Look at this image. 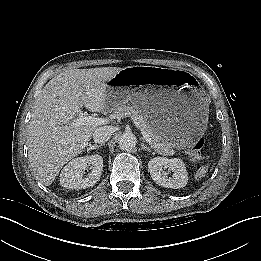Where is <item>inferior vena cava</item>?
<instances>
[{
    "label": "inferior vena cava",
    "instance_id": "1",
    "mask_svg": "<svg viewBox=\"0 0 261 261\" xmlns=\"http://www.w3.org/2000/svg\"><path fill=\"white\" fill-rule=\"evenodd\" d=\"M113 131L109 126L99 127L93 133L95 143L107 142L112 135Z\"/></svg>",
    "mask_w": 261,
    "mask_h": 261
}]
</instances>
